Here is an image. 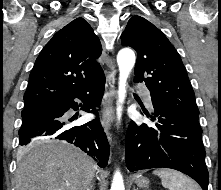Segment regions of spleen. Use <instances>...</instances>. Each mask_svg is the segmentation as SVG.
<instances>
[{"instance_id":"spleen-1","label":"spleen","mask_w":221,"mask_h":190,"mask_svg":"<svg viewBox=\"0 0 221 190\" xmlns=\"http://www.w3.org/2000/svg\"><path fill=\"white\" fill-rule=\"evenodd\" d=\"M153 174L160 177L162 186L169 190H201L192 179L179 171L159 168Z\"/></svg>"}]
</instances>
